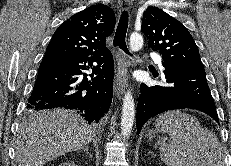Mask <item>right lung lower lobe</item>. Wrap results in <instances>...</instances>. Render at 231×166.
<instances>
[{
  "mask_svg": "<svg viewBox=\"0 0 231 166\" xmlns=\"http://www.w3.org/2000/svg\"><path fill=\"white\" fill-rule=\"evenodd\" d=\"M89 69H92L90 77L83 73ZM113 78L110 51L82 57L45 53L27 109L64 107L76 110L89 123L99 122L112 102Z\"/></svg>",
  "mask_w": 231,
  "mask_h": 166,
  "instance_id": "98d812e1",
  "label": "right lung lower lobe"
}]
</instances>
